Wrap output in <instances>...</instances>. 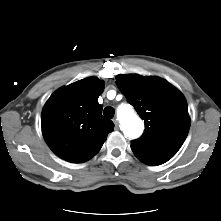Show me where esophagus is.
Returning <instances> with one entry per match:
<instances>
[{"instance_id": "1", "label": "esophagus", "mask_w": 221, "mask_h": 221, "mask_svg": "<svg viewBox=\"0 0 221 221\" xmlns=\"http://www.w3.org/2000/svg\"><path fill=\"white\" fill-rule=\"evenodd\" d=\"M113 122H114V125H115V129H117V130H118V129H119V127H120V124H119L118 119H116V118H115V119L113 120Z\"/></svg>"}]
</instances>
